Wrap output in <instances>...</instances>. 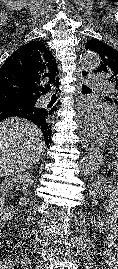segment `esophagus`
I'll return each mask as SVG.
<instances>
[{"label":"esophagus","instance_id":"esophagus-1","mask_svg":"<svg viewBox=\"0 0 118 269\" xmlns=\"http://www.w3.org/2000/svg\"><path fill=\"white\" fill-rule=\"evenodd\" d=\"M90 75H91V72L89 70L83 69V68L79 69L78 76H79L80 83L78 85V90L80 89V84L87 81V79L90 77ZM81 144H82V147L87 151L92 150V148L94 147L93 142L91 140L87 139L85 137V135L82 136Z\"/></svg>","mask_w":118,"mask_h":269}]
</instances>
